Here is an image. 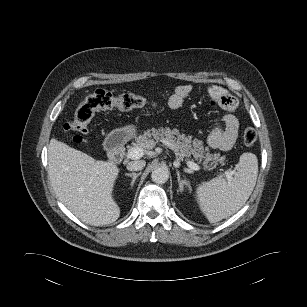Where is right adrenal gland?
<instances>
[{
    "instance_id": "1",
    "label": "right adrenal gland",
    "mask_w": 307,
    "mask_h": 307,
    "mask_svg": "<svg viewBox=\"0 0 307 307\" xmlns=\"http://www.w3.org/2000/svg\"><path fill=\"white\" fill-rule=\"evenodd\" d=\"M125 175H126V176H129V177H132L131 186H133L134 183H135V180L137 179V177H138L139 175H141V173H126Z\"/></svg>"
}]
</instances>
